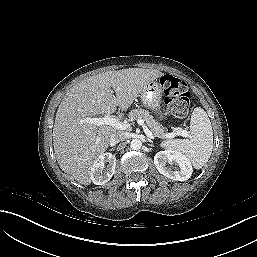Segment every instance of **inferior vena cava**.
I'll return each instance as SVG.
<instances>
[{
	"instance_id": "602c4592",
	"label": "inferior vena cava",
	"mask_w": 257,
	"mask_h": 257,
	"mask_svg": "<svg viewBox=\"0 0 257 257\" xmlns=\"http://www.w3.org/2000/svg\"><path fill=\"white\" fill-rule=\"evenodd\" d=\"M125 139H126L125 133L119 131V132L113 133V134L110 136L109 143H110V145H116V144H118L119 142L124 141Z\"/></svg>"
}]
</instances>
